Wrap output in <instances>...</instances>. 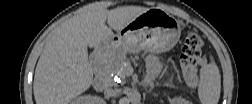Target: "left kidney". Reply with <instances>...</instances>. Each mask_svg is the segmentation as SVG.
Segmentation results:
<instances>
[{
    "label": "left kidney",
    "mask_w": 252,
    "mask_h": 104,
    "mask_svg": "<svg viewBox=\"0 0 252 104\" xmlns=\"http://www.w3.org/2000/svg\"><path fill=\"white\" fill-rule=\"evenodd\" d=\"M174 101L177 104H186L187 103V101L185 99H182V98H175Z\"/></svg>",
    "instance_id": "5707ae66"
}]
</instances>
